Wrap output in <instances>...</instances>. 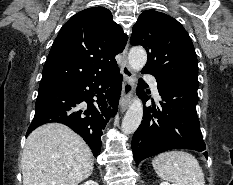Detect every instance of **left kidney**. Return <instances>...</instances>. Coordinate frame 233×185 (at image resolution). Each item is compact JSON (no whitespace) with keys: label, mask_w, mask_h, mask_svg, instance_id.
I'll return each instance as SVG.
<instances>
[{"label":"left kidney","mask_w":233,"mask_h":185,"mask_svg":"<svg viewBox=\"0 0 233 185\" xmlns=\"http://www.w3.org/2000/svg\"><path fill=\"white\" fill-rule=\"evenodd\" d=\"M160 185H173V184H170L168 182H161Z\"/></svg>","instance_id":"obj_1"}]
</instances>
